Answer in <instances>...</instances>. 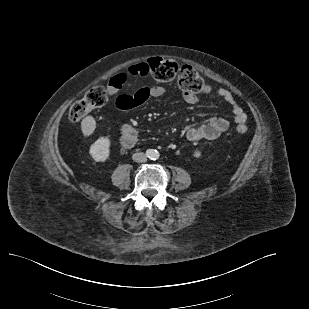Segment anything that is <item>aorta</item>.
<instances>
[{
	"label": "aorta",
	"instance_id": "obj_1",
	"mask_svg": "<svg viewBox=\"0 0 309 309\" xmlns=\"http://www.w3.org/2000/svg\"><path fill=\"white\" fill-rule=\"evenodd\" d=\"M148 155H149V158L152 160H156L160 156L159 152L156 149H151Z\"/></svg>",
	"mask_w": 309,
	"mask_h": 309
}]
</instances>
